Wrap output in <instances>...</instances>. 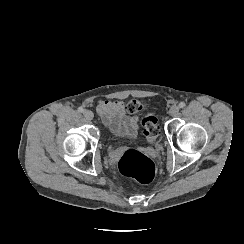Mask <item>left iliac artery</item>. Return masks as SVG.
<instances>
[{
  "instance_id": "1",
  "label": "left iliac artery",
  "mask_w": 244,
  "mask_h": 244,
  "mask_svg": "<svg viewBox=\"0 0 244 244\" xmlns=\"http://www.w3.org/2000/svg\"><path fill=\"white\" fill-rule=\"evenodd\" d=\"M185 106H186V104H185L184 102H180V103H179V107H180V108H184Z\"/></svg>"
}]
</instances>
